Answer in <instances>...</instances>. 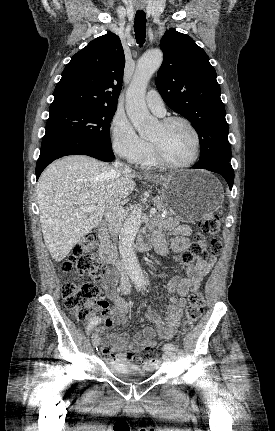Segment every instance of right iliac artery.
<instances>
[{"label":"right iliac artery","instance_id":"right-iliac-artery-1","mask_svg":"<svg viewBox=\"0 0 275 431\" xmlns=\"http://www.w3.org/2000/svg\"><path fill=\"white\" fill-rule=\"evenodd\" d=\"M138 290L141 289V285H137ZM100 322V318L99 317H93L89 323L87 324L86 330L87 332L92 331L96 325H98V323Z\"/></svg>","mask_w":275,"mask_h":431}]
</instances>
